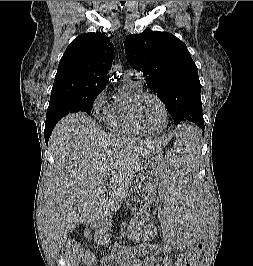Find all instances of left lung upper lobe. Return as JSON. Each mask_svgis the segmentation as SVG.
I'll return each instance as SVG.
<instances>
[{"label":"left lung upper lobe","mask_w":253,"mask_h":266,"mask_svg":"<svg viewBox=\"0 0 253 266\" xmlns=\"http://www.w3.org/2000/svg\"><path fill=\"white\" fill-rule=\"evenodd\" d=\"M125 52L132 68L161 98L176 124L203 122L198 69L185 43L167 32L145 29L126 38Z\"/></svg>","instance_id":"left-lung-upper-lobe-1"}]
</instances>
